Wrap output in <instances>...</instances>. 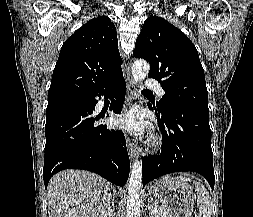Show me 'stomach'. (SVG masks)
Wrapping results in <instances>:
<instances>
[{"label": "stomach", "mask_w": 253, "mask_h": 217, "mask_svg": "<svg viewBox=\"0 0 253 217\" xmlns=\"http://www.w3.org/2000/svg\"><path fill=\"white\" fill-rule=\"evenodd\" d=\"M149 195L161 202L173 217H191L196 196L188 183L172 176H164L150 188Z\"/></svg>", "instance_id": "0dacf381"}]
</instances>
